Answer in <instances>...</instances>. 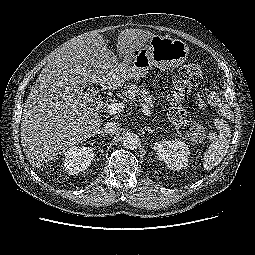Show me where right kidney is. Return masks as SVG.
I'll return each mask as SVG.
<instances>
[{
	"mask_svg": "<svg viewBox=\"0 0 255 255\" xmlns=\"http://www.w3.org/2000/svg\"><path fill=\"white\" fill-rule=\"evenodd\" d=\"M94 158L91 147L72 146L64 153V170L69 175H76L88 168Z\"/></svg>",
	"mask_w": 255,
	"mask_h": 255,
	"instance_id": "1",
	"label": "right kidney"
}]
</instances>
